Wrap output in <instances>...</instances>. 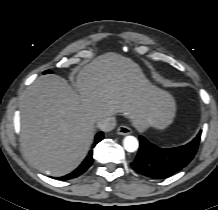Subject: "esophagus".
<instances>
[{"instance_id":"1","label":"esophagus","mask_w":218,"mask_h":210,"mask_svg":"<svg viewBox=\"0 0 218 210\" xmlns=\"http://www.w3.org/2000/svg\"><path fill=\"white\" fill-rule=\"evenodd\" d=\"M132 130L126 125H120L117 129L119 135H128L131 134Z\"/></svg>"}]
</instances>
